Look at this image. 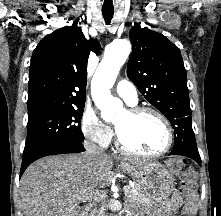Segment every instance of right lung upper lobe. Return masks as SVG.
Wrapping results in <instances>:
<instances>
[{
  "label": "right lung upper lobe",
  "instance_id": "1",
  "mask_svg": "<svg viewBox=\"0 0 221 216\" xmlns=\"http://www.w3.org/2000/svg\"><path fill=\"white\" fill-rule=\"evenodd\" d=\"M99 49L97 40L88 43L77 22L45 36L31 58L28 117L85 104L89 53Z\"/></svg>",
  "mask_w": 221,
  "mask_h": 216
}]
</instances>
